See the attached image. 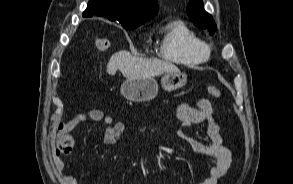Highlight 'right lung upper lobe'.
<instances>
[{
	"mask_svg": "<svg viewBox=\"0 0 293 184\" xmlns=\"http://www.w3.org/2000/svg\"><path fill=\"white\" fill-rule=\"evenodd\" d=\"M158 10L157 0H90L83 16H104L123 25L145 23L153 18Z\"/></svg>",
	"mask_w": 293,
	"mask_h": 184,
	"instance_id": "cb5924a9",
	"label": "right lung upper lobe"
}]
</instances>
